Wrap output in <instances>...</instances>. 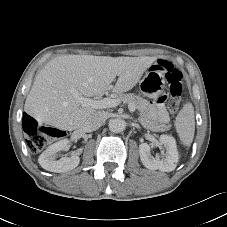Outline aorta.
<instances>
[{
	"label": "aorta",
	"mask_w": 227,
	"mask_h": 227,
	"mask_svg": "<svg viewBox=\"0 0 227 227\" xmlns=\"http://www.w3.org/2000/svg\"><path fill=\"white\" fill-rule=\"evenodd\" d=\"M109 130L113 133H120L125 130L126 122L123 119H111L108 124Z\"/></svg>",
	"instance_id": "762f6f07"
}]
</instances>
